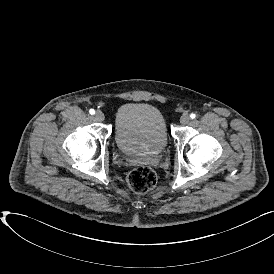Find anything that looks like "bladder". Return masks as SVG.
Masks as SVG:
<instances>
[{
  "instance_id": "obj_1",
  "label": "bladder",
  "mask_w": 274,
  "mask_h": 274,
  "mask_svg": "<svg viewBox=\"0 0 274 274\" xmlns=\"http://www.w3.org/2000/svg\"><path fill=\"white\" fill-rule=\"evenodd\" d=\"M114 140L118 149L127 155L158 154L169 143L166 118L151 103H126L114 117Z\"/></svg>"
}]
</instances>
